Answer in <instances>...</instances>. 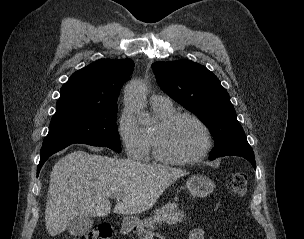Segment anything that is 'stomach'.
<instances>
[{"label": "stomach", "instance_id": "1", "mask_svg": "<svg viewBox=\"0 0 304 239\" xmlns=\"http://www.w3.org/2000/svg\"><path fill=\"white\" fill-rule=\"evenodd\" d=\"M186 187L192 196L205 197L213 192L215 184L207 176L193 175L188 178Z\"/></svg>", "mask_w": 304, "mask_h": 239}]
</instances>
